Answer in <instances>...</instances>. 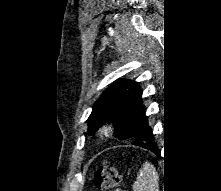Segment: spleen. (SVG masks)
I'll return each instance as SVG.
<instances>
[{"instance_id": "1", "label": "spleen", "mask_w": 221, "mask_h": 191, "mask_svg": "<svg viewBox=\"0 0 221 191\" xmlns=\"http://www.w3.org/2000/svg\"><path fill=\"white\" fill-rule=\"evenodd\" d=\"M133 191H159V175L154 165L149 162L143 164L133 184Z\"/></svg>"}]
</instances>
